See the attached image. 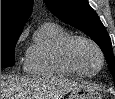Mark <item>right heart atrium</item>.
<instances>
[{"mask_svg": "<svg viewBox=\"0 0 115 99\" xmlns=\"http://www.w3.org/2000/svg\"><path fill=\"white\" fill-rule=\"evenodd\" d=\"M26 34H27V32L26 31H24L21 35H20V37H19V39H18V43H20V42H22L24 39H25V37H26Z\"/></svg>", "mask_w": 115, "mask_h": 99, "instance_id": "obj_1", "label": "right heart atrium"}]
</instances>
